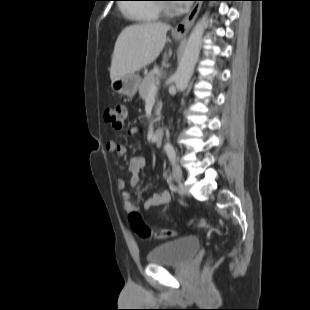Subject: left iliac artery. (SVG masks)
I'll list each match as a JSON object with an SVG mask.
<instances>
[{"label": "left iliac artery", "instance_id": "left-iliac-artery-1", "mask_svg": "<svg viewBox=\"0 0 310 310\" xmlns=\"http://www.w3.org/2000/svg\"><path fill=\"white\" fill-rule=\"evenodd\" d=\"M166 152H167V155H168L170 162L175 163V161H176L175 149L172 146H169L166 148Z\"/></svg>", "mask_w": 310, "mask_h": 310}]
</instances>
